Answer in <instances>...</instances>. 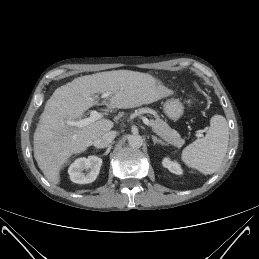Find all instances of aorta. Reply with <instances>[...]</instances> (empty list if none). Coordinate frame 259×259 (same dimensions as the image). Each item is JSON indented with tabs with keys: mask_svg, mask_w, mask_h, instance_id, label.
<instances>
[{
	"mask_svg": "<svg viewBox=\"0 0 259 259\" xmlns=\"http://www.w3.org/2000/svg\"><path fill=\"white\" fill-rule=\"evenodd\" d=\"M128 143L133 148H140L143 144V138L138 134H133L128 137Z\"/></svg>",
	"mask_w": 259,
	"mask_h": 259,
	"instance_id": "aorta-1",
	"label": "aorta"
}]
</instances>
